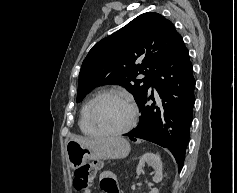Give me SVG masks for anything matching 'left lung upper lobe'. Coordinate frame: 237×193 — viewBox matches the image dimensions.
<instances>
[{
    "label": "left lung upper lobe",
    "mask_w": 237,
    "mask_h": 193,
    "mask_svg": "<svg viewBox=\"0 0 237 193\" xmlns=\"http://www.w3.org/2000/svg\"><path fill=\"white\" fill-rule=\"evenodd\" d=\"M182 40L173 23L147 12L95 44L79 73L77 102L97 86L118 84L139 105L165 59ZM146 75L143 79L138 76Z\"/></svg>",
    "instance_id": "1"
}]
</instances>
